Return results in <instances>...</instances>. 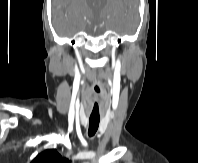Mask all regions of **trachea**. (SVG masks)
Here are the masks:
<instances>
[{
  "mask_svg": "<svg viewBox=\"0 0 198 163\" xmlns=\"http://www.w3.org/2000/svg\"><path fill=\"white\" fill-rule=\"evenodd\" d=\"M99 122H100L99 117H90V119H89V129H88V135L90 137L95 135V133L98 130V127H99Z\"/></svg>",
  "mask_w": 198,
  "mask_h": 163,
  "instance_id": "1",
  "label": "trachea"
}]
</instances>
